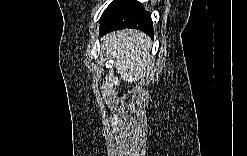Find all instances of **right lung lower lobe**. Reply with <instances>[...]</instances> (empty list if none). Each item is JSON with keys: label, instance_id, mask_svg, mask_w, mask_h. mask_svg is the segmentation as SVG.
Instances as JSON below:
<instances>
[{"label": "right lung lower lobe", "instance_id": "98d812e1", "mask_svg": "<svg viewBox=\"0 0 247 156\" xmlns=\"http://www.w3.org/2000/svg\"><path fill=\"white\" fill-rule=\"evenodd\" d=\"M100 22L101 35L123 28H134L153 37L150 13L138 1H113L102 14Z\"/></svg>", "mask_w": 247, "mask_h": 156}]
</instances>
